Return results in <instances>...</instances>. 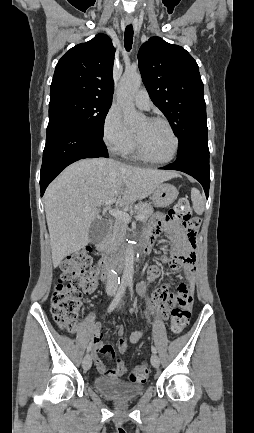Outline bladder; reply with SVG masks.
<instances>
[{
  "instance_id": "bladder-1",
  "label": "bladder",
  "mask_w": 254,
  "mask_h": 433,
  "mask_svg": "<svg viewBox=\"0 0 254 433\" xmlns=\"http://www.w3.org/2000/svg\"><path fill=\"white\" fill-rule=\"evenodd\" d=\"M93 385L104 396L120 400L137 398L144 391V385L106 377H96Z\"/></svg>"
}]
</instances>
